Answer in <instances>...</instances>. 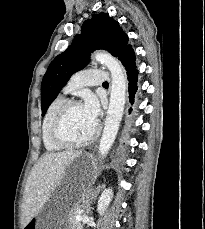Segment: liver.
I'll list each match as a JSON object with an SVG mask.
<instances>
[{"instance_id":"6515ba94","label":"liver","mask_w":205,"mask_h":229,"mask_svg":"<svg viewBox=\"0 0 205 229\" xmlns=\"http://www.w3.org/2000/svg\"><path fill=\"white\" fill-rule=\"evenodd\" d=\"M81 154V151L48 153L34 165L23 196V226L41 211L51 194L62 184L67 167Z\"/></svg>"}]
</instances>
